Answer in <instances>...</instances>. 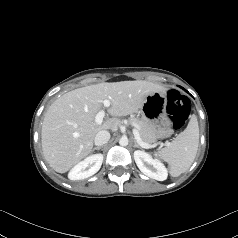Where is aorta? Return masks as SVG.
Returning a JSON list of instances; mask_svg holds the SVG:
<instances>
[{"label":"aorta","mask_w":238,"mask_h":238,"mask_svg":"<svg viewBox=\"0 0 238 238\" xmlns=\"http://www.w3.org/2000/svg\"><path fill=\"white\" fill-rule=\"evenodd\" d=\"M128 138L127 137H122V138H120V140H119V144L121 145V146H127L128 145Z\"/></svg>","instance_id":"obj_1"}]
</instances>
